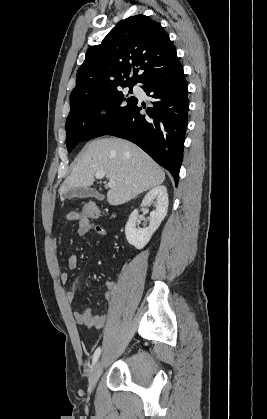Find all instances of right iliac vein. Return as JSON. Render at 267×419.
<instances>
[{"mask_svg": "<svg viewBox=\"0 0 267 419\" xmlns=\"http://www.w3.org/2000/svg\"><path fill=\"white\" fill-rule=\"evenodd\" d=\"M103 367V360H99L96 362L95 366L92 369L91 377L89 381V388L90 390H94L96 383L98 381V378L100 377L101 371Z\"/></svg>", "mask_w": 267, "mask_h": 419, "instance_id": "1", "label": "right iliac vein"}]
</instances>
